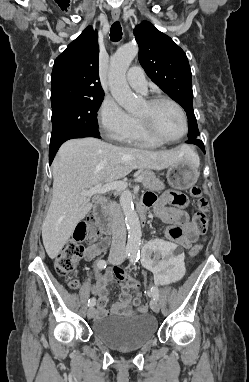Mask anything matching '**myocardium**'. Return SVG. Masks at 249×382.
Listing matches in <instances>:
<instances>
[{"label": "myocardium", "instance_id": "myocardium-1", "mask_svg": "<svg viewBox=\"0 0 249 382\" xmlns=\"http://www.w3.org/2000/svg\"><path fill=\"white\" fill-rule=\"evenodd\" d=\"M146 103L150 107H154L160 103L171 104L172 106H174L177 109V111L179 112V114L181 116L182 122H183V132L181 133V135L176 137V138L169 139V138H164V137L160 136L156 132V130L153 127L150 120L137 117V119L141 125L142 131L145 133L146 136H148L149 138H151L152 140H154L160 144L176 143V142H179L180 140H182L186 136V134L188 133V118H187L185 110L183 109V107L178 102H176L175 100H173L169 97H166V96H156V97H153V98L147 100Z\"/></svg>", "mask_w": 249, "mask_h": 382}]
</instances>
